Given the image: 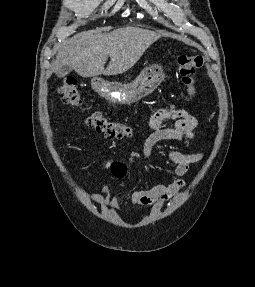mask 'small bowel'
<instances>
[{
	"instance_id": "small-bowel-1",
	"label": "small bowel",
	"mask_w": 255,
	"mask_h": 287,
	"mask_svg": "<svg viewBox=\"0 0 255 287\" xmlns=\"http://www.w3.org/2000/svg\"><path fill=\"white\" fill-rule=\"evenodd\" d=\"M166 120H174L172 127L164 126ZM152 133L147 137L143 146V155L147 160L151 159L155 145L161 141L181 140L183 138L194 140L197 137V119L183 109L161 108L153 113L149 122ZM204 152L185 154L177 150L167 153L169 160L175 165L172 171L177 177L168 185L159 184L149 189L134 191L131 201L142 206L152 207L156 212L162 205L175 198L185 186L184 176L189 167L204 158ZM132 158L138 154L131 152ZM105 169L109 170L118 180H123L127 175V166L117 160H108ZM89 199L100 208L120 210L119 198L115 192L110 191L106 184L102 185V193H91Z\"/></svg>"
}]
</instances>
